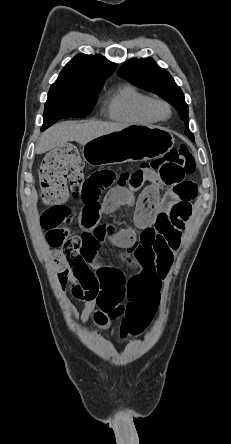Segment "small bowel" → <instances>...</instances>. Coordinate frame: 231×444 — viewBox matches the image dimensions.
I'll return each instance as SVG.
<instances>
[{
	"mask_svg": "<svg viewBox=\"0 0 231 444\" xmlns=\"http://www.w3.org/2000/svg\"><path fill=\"white\" fill-rule=\"evenodd\" d=\"M119 175L111 169H101L85 180L79 196L82 209L72 212L70 226L47 231V241L52 247L62 246L54 253L60 285L64 287L70 280H77L81 293L78 298L85 303L79 313L68 300L65 303L75 318L83 323L92 319L100 328L106 329L125 313V300L143 292L150 284L159 287L165 280L173 254L178 249L184 222L188 219L173 216V208L183 203L190 207L198 189L194 182L186 181L180 188H170L161 194L164 183L155 175L149 174L127 188L117 187ZM145 182L149 184L136 199V193ZM108 193L102 199V191ZM122 206H134L132 227L116 229L101 223L103 216ZM80 232H73V223ZM76 251L83 259V266L68 268L64 251ZM107 255H115L119 262L132 273L127 278L117 267L106 263Z\"/></svg>",
	"mask_w": 231,
	"mask_h": 444,
	"instance_id": "c3829d8e",
	"label": "small bowel"
}]
</instances>
